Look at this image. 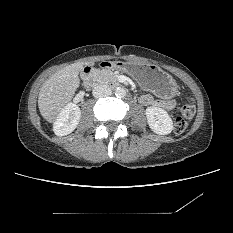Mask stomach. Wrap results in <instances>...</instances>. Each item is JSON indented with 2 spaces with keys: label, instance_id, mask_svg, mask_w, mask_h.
Returning a JSON list of instances; mask_svg holds the SVG:
<instances>
[{
  "label": "stomach",
  "instance_id": "stomach-1",
  "mask_svg": "<svg viewBox=\"0 0 233 233\" xmlns=\"http://www.w3.org/2000/svg\"><path fill=\"white\" fill-rule=\"evenodd\" d=\"M114 66L159 97L171 98L177 92V84L172 76L155 64L117 61Z\"/></svg>",
  "mask_w": 233,
  "mask_h": 233
}]
</instances>
